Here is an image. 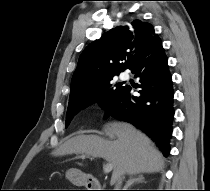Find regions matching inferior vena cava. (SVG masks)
I'll list each match as a JSON object with an SVG mask.
<instances>
[{
  "instance_id": "1",
  "label": "inferior vena cava",
  "mask_w": 210,
  "mask_h": 191,
  "mask_svg": "<svg viewBox=\"0 0 210 191\" xmlns=\"http://www.w3.org/2000/svg\"><path fill=\"white\" fill-rule=\"evenodd\" d=\"M123 174H124V173H121V174L118 176L117 180H116V184H115L116 190H119V188L121 187L122 179H123V177H122Z\"/></svg>"
}]
</instances>
